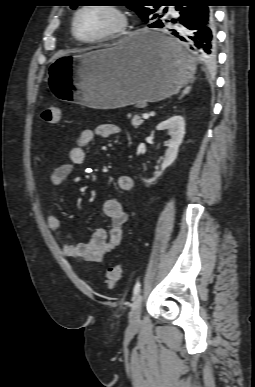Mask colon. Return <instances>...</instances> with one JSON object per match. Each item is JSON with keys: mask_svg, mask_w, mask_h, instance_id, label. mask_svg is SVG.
Returning a JSON list of instances; mask_svg holds the SVG:
<instances>
[{"mask_svg": "<svg viewBox=\"0 0 255 387\" xmlns=\"http://www.w3.org/2000/svg\"><path fill=\"white\" fill-rule=\"evenodd\" d=\"M41 118L47 123H58L61 118V110L56 105L49 106L41 112ZM122 271V263L116 264L107 269L105 274V283L109 289H112L116 286V284L121 278Z\"/></svg>", "mask_w": 255, "mask_h": 387, "instance_id": "colon-1", "label": "colon"}]
</instances>
